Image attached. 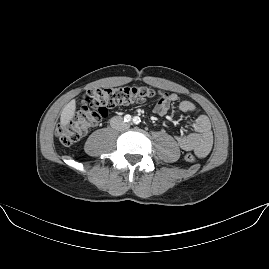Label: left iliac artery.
Masks as SVG:
<instances>
[{"instance_id":"obj_1","label":"left iliac artery","mask_w":269,"mask_h":269,"mask_svg":"<svg viewBox=\"0 0 269 269\" xmlns=\"http://www.w3.org/2000/svg\"><path fill=\"white\" fill-rule=\"evenodd\" d=\"M140 122H141V120H140V118H139L138 116H135V117L133 118V123H134V124L138 125Z\"/></svg>"}]
</instances>
